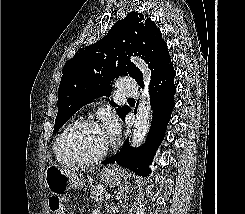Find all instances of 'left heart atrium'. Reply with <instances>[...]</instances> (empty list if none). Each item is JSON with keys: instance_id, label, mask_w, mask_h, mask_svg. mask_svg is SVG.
Segmentation results:
<instances>
[{"instance_id": "39dd6f15", "label": "left heart atrium", "mask_w": 245, "mask_h": 214, "mask_svg": "<svg viewBox=\"0 0 245 214\" xmlns=\"http://www.w3.org/2000/svg\"><path fill=\"white\" fill-rule=\"evenodd\" d=\"M102 129L108 140L112 142L118 135L119 125L115 119H108Z\"/></svg>"}]
</instances>
